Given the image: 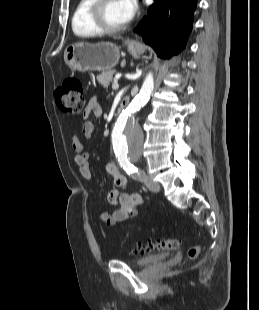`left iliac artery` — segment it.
I'll use <instances>...</instances> for the list:
<instances>
[{"mask_svg": "<svg viewBox=\"0 0 259 310\" xmlns=\"http://www.w3.org/2000/svg\"><path fill=\"white\" fill-rule=\"evenodd\" d=\"M121 167L127 172V174L132 175L133 178L142 179L144 177V172L139 170L137 167L132 165L128 161H120Z\"/></svg>", "mask_w": 259, "mask_h": 310, "instance_id": "left-iliac-artery-1", "label": "left iliac artery"}]
</instances>
